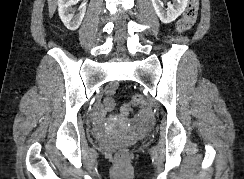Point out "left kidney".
<instances>
[{
    "label": "left kidney",
    "instance_id": "5707ae66",
    "mask_svg": "<svg viewBox=\"0 0 244 179\" xmlns=\"http://www.w3.org/2000/svg\"><path fill=\"white\" fill-rule=\"evenodd\" d=\"M152 4L161 22L170 24V22H174L178 16L183 14L185 8H187L188 0H173V4H170L167 10H163L161 0H152Z\"/></svg>",
    "mask_w": 244,
    "mask_h": 179
}]
</instances>
